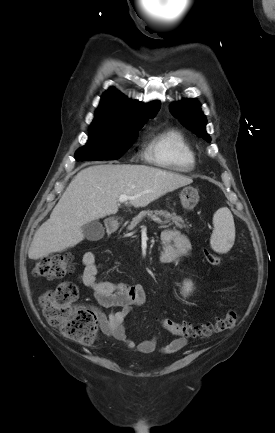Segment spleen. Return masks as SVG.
<instances>
[{
	"mask_svg": "<svg viewBox=\"0 0 275 433\" xmlns=\"http://www.w3.org/2000/svg\"><path fill=\"white\" fill-rule=\"evenodd\" d=\"M213 225L211 248L217 253H227L235 241V225L230 210L226 207L217 210L213 216Z\"/></svg>",
	"mask_w": 275,
	"mask_h": 433,
	"instance_id": "1",
	"label": "spleen"
}]
</instances>
